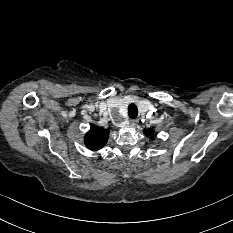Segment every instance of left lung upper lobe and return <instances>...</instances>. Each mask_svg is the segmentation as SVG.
<instances>
[{"instance_id":"1","label":"left lung upper lobe","mask_w":233,"mask_h":233,"mask_svg":"<svg viewBox=\"0 0 233 233\" xmlns=\"http://www.w3.org/2000/svg\"><path fill=\"white\" fill-rule=\"evenodd\" d=\"M145 131H147L146 135H152L154 133L153 129H146Z\"/></svg>"}]
</instances>
